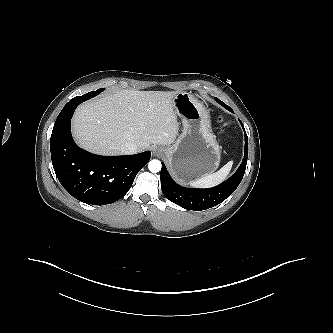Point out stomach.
<instances>
[{
    "label": "stomach",
    "instance_id": "obj_1",
    "mask_svg": "<svg viewBox=\"0 0 333 333\" xmlns=\"http://www.w3.org/2000/svg\"><path fill=\"white\" fill-rule=\"evenodd\" d=\"M173 109L183 124L181 135L165 149L167 164L179 182L212 174L220 164V146L212 133L210 116L193 95L179 92Z\"/></svg>",
    "mask_w": 333,
    "mask_h": 333
}]
</instances>
